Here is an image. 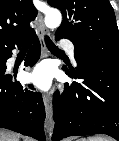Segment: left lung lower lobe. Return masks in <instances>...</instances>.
<instances>
[{
	"label": "left lung lower lobe",
	"mask_w": 119,
	"mask_h": 141,
	"mask_svg": "<svg viewBox=\"0 0 119 141\" xmlns=\"http://www.w3.org/2000/svg\"><path fill=\"white\" fill-rule=\"evenodd\" d=\"M63 70L82 82L65 83L64 91L54 94L52 140L107 134L119 141V63L80 61L76 69Z\"/></svg>",
	"instance_id": "left-lung-lower-lobe-1"
}]
</instances>
